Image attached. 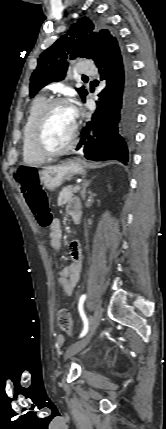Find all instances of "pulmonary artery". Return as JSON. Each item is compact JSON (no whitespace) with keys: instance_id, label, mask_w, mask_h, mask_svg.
<instances>
[{"instance_id":"obj_1","label":"pulmonary artery","mask_w":166,"mask_h":429,"mask_svg":"<svg viewBox=\"0 0 166 429\" xmlns=\"http://www.w3.org/2000/svg\"><path fill=\"white\" fill-rule=\"evenodd\" d=\"M94 69L91 66H83L79 68V73L83 75H91L93 73Z\"/></svg>"}]
</instances>
